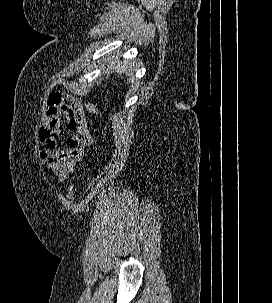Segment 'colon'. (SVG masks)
<instances>
[{"label": "colon", "instance_id": "obj_1", "mask_svg": "<svg viewBox=\"0 0 272 303\" xmlns=\"http://www.w3.org/2000/svg\"><path fill=\"white\" fill-rule=\"evenodd\" d=\"M97 105L95 102H90L87 104V111L89 113H97ZM74 197V190L72 187L69 188V191H68V198L69 199H72Z\"/></svg>", "mask_w": 272, "mask_h": 303}]
</instances>
